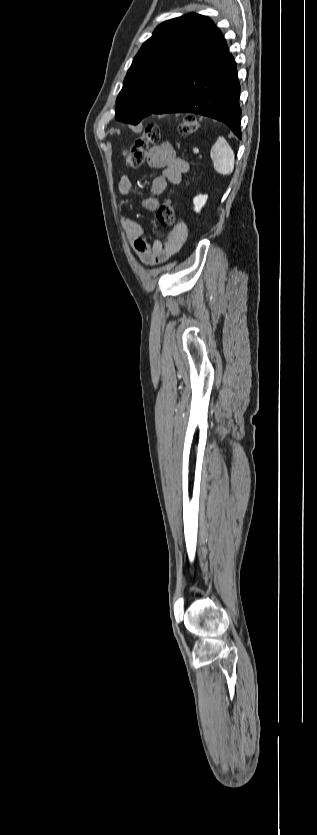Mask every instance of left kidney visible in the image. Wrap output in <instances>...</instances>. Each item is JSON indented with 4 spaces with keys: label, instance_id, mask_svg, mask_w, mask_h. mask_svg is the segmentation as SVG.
<instances>
[{
    "label": "left kidney",
    "instance_id": "obj_1",
    "mask_svg": "<svg viewBox=\"0 0 317 835\" xmlns=\"http://www.w3.org/2000/svg\"><path fill=\"white\" fill-rule=\"evenodd\" d=\"M208 199L207 195H197L193 199L194 210L199 213Z\"/></svg>",
    "mask_w": 317,
    "mask_h": 835
}]
</instances>
